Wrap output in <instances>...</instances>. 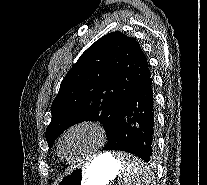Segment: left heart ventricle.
<instances>
[{
    "label": "left heart ventricle",
    "instance_id": "obj_1",
    "mask_svg": "<svg viewBox=\"0 0 207 185\" xmlns=\"http://www.w3.org/2000/svg\"><path fill=\"white\" fill-rule=\"evenodd\" d=\"M100 144L101 141L91 129L78 128L63 140L62 154L68 160H75L98 148Z\"/></svg>",
    "mask_w": 207,
    "mask_h": 185
}]
</instances>
